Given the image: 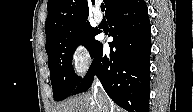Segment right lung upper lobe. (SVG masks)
Masks as SVG:
<instances>
[{
    "instance_id": "cb5924a9",
    "label": "right lung upper lobe",
    "mask_w": 193,
    "mask_h": 112,
    "mask_svg": "<svg viewBox=\"0 0 193 112\" xmlns=\"http://www.w3.org/2000/svg\"><path fill=\"white\" fill-rule=\"evenodd\" d=\"M103 1L108 17L127 0ZM94 4L95 0H49L47 4L48 16L45 22L47 42L68 28L89 24L87 21L88 8Z\"/></svg>"
}]
</instances>
